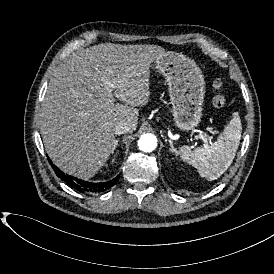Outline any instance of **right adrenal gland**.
Wrapping results in <instances>:
<instances>
[{
    "label": "right adrenal gland",
    "instance_id": "obj_1",
    "mask_svg": "<svg viewBox=\"0 0 274 274\" xmlns=\"http://www.w3.org/2000/svg\"><path fill=\"white\" fill-rule=\"evenodd\" d=\"M117 144H118V140H116V145H115V147H114L113 150H112V154H114V151H115V149H116ZM114 156H115V155H114Z\"/></svg>",
    "mask_w": 274,
    "mask_h": 274
}]
</instances>
